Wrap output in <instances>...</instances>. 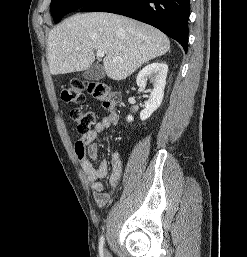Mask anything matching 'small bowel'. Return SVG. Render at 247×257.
I'll list each match as a JSON object with an SVG mask.
<instances>
[{
    "label": "small bowel",
    "instance_id": "c3829d8e",
    "mask_svg": "<svg viewBox=\"0 0 247 257\" xmlns=\"http://www.w3.org/2000/svg\"><path fill=\"white\" fill-rule=\"evenodd\" d=\"M119 117L111 113L103 117L95 127L89 132L83 134L76 141L74 150L81 168L86 174L87 180L93 193L95 202L99 206H105L110 200V193L101 182L108 174L107 163L104 159L99 160L98 145L95 143L99 134L118 124ZM92 161H99L98 167H94ZM111 173L109 178L110 187H114L122 174V160L120 153L114 151L111 156Z\"/></svg>",
    "mask_w": 247,
    "mask_h": 257
}]
</instances>
